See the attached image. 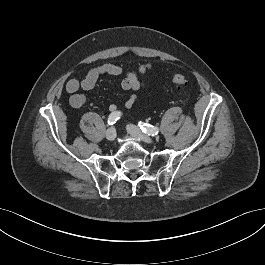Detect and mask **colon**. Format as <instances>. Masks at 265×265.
Returning a JSON list of instances; mask_svg holds the SVG:
<instances>
[{"mask_svg":"<svg viewBox=\"0 0 265 265\" xmlns=\"http://www.w3.org/2000/svg\"><path fill=\"white\" fill-rule=\"evenodd\" d=\"M171 81L178 89H184L189 86V79L183 74H173Z\"/></svg>","mask_w":265,"mask_h":265,"instance_id":"1","label":"colon"}]
</instances>
